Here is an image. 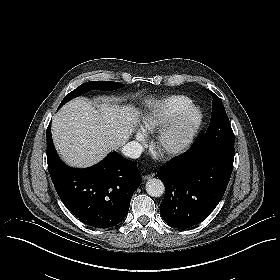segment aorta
Instances as JSON below:
<instances>
[{"mask_svg": "<svg viewBox=\"0 0 280 280\" xmlns=\"http://www.w3.org/2000/svg\"><path fill=\"white\" fill-rule=\"evenodd\" d=\"M146 191L152 197H160L165 191L164 183L158 178L150 179L146 182Z\"/></svg>", "mask_w": 280, "mask_h": 280, "instance_id": "762f6f07", "label": "aorta"}]
</instances>
